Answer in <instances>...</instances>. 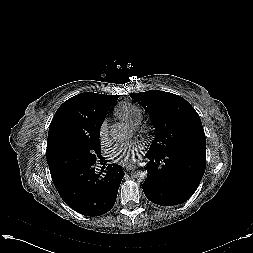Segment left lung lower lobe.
<instances>
[{"label":"left lung lower lobe","instance_id":"0a47b994","mask_svg":"<svg viewBox=\"0 0 253 253\" xmlns=\"http://www.w3.org/2000/svg\"><path fill=\"white\" fill-rule=\"evenodd\" d=\"M147 178L142 187L153 203L172 206L187 201L198 188L206 167V150L180 148L163 154L147 152Z\"/></svg>","mask_w":253,"mask_h":253}]
</instances>
